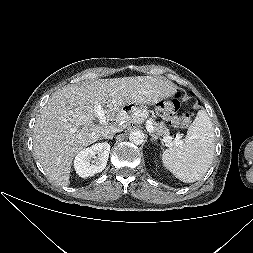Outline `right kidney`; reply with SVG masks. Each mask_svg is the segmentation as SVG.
Instances as JSON below:
<instances>
[{
  "mask_svg": "<svg viewBox=\"0 0 253 253\" xmlns=\"http://www.w3.org/2000/svg\"><path fill=\"white\" fill-rule=\"evenodd\" d=\"M110 144L96 143L80 151L74 160V168L80 177H91L101 172L107 165ZM94 159V160H92Z\"/></svg>",
  "mask_w": 253,
  "mask_h": 253,
  "instance_id": "1",
  "label": "right kidney"
}]
</instances>
